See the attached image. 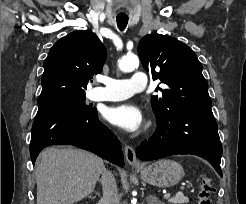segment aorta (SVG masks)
<instances>
[{"mask_svg":"<svg viewBox=\"0 0 246 204\" xmlns=\"http://www.w3.org/2000/svg\"><path fill=\"white\" fill-rule=\"evenodd\" d=\"M139 65V59L135 55H126L118 62L121 71L129 72L134 70Z\"/></svg>","mask_w":246,"mask_h":204,"instance_id":"762f6f07","label":"aorta"}]
</instances>
